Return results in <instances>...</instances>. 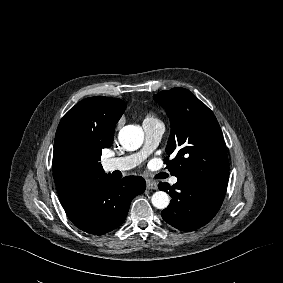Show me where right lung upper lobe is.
<instances>
[{
  "mask_svg": "<svg viewBox=\"0 0 283 283\" xmlns=\"http://www.w3.org/2000/svg\"><path fill=\"white\" fill-rule=\"evenodd\" d=\"M126 104L118 98L90 97L61 119L54 141L53 173L62 206L104 173L102 148L112 145L115 125Z\"/></svg>",
  "mask_w": 283,
  "mask_h": 283,
  "instance_id": "cb5924a9",
  "label": "right lung upper lobe"
}]
</instances>
